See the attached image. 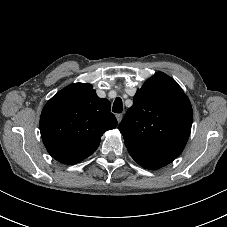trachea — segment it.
<instances>
[{"instance_id": "1", "label": "trachea", "mask_w": 227, "mask_h": 227, "mask_svg": "<svg viewBox=\"0 0 227 227\" xmlns=\"http://www.w3.org/2000/svg\"><path fill=\"white\" fill-rule=\"evenodd\" d=\"M123 108L122 99L120 97H117L114 101L112 111L114 113H121Z\"/></svg>"}]
</instances>
